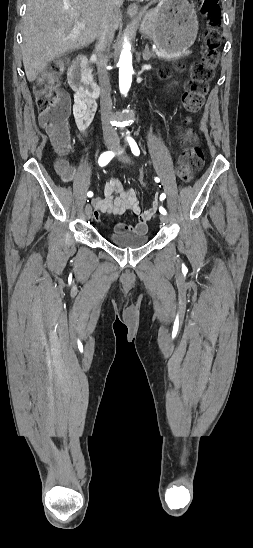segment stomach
Instances as JSON below:
<instances>
[{"instance_id":"obj_1","label":"stomach","mask_w":253,"mask_h":548,"mask_svg":"<svg viewBox=\"0 0 253 548\" xmlns=\"http://www.w3.org/2000/svg\"><path fill=\"white\" fill-rule=\"evenodd\" d=\"M140 32L166 52L185 53L197 36L196 11L187 0H161L143 14Z\"/></svg>"}]
</instances>
